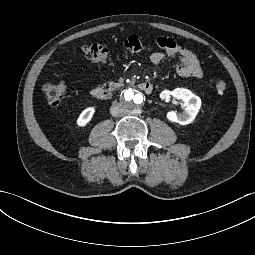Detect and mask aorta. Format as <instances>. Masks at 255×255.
<instances>
[{
    "label": "aorta",
    "mask_w": 255,
    "mask_h": 255,
    "mask_svg": "<svg viewBox=\"0 0 255 255\" xmlns=\"http://www.w3.org/2000/svg\"><path fill=\"white\" fill-rule=\"evenodd\" d=\"M123 100L131 108H140L144 104L145 97L140 91L130 88L124 92Z\"/></svg>",
    "instance_id": "aorta-1"
}]
</instances>
